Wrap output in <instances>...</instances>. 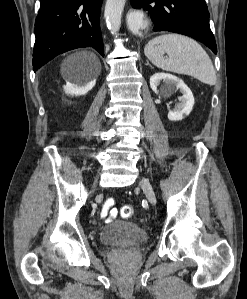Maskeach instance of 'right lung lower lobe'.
I'll return each instance as SVG.
<instances>
[{
	"label": "right lung lower lobe",
	"mask_w": 247,
	"mask_h": 299,
	"mask_svg": "<svg viewBox=\"0 0 247 299\" xmlns=\"http://www.w3.org/2000/svg\"><path fill=\"white\" fill-rule=\"evenodd\" d=\"M103 0H40L35 21L33 70L66 51L93 47L102 56L100 30Z\"/></svg>",
	"instance_id": "obj_1"
}]
</instances>
